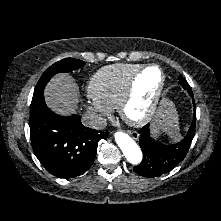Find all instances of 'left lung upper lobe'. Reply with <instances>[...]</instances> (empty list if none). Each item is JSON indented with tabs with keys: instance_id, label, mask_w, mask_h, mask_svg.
I'll use <instances>...</instances> for the list:
<instances>
[{
	"instance_id": "1",
	"label": "left lung upper lobe",
	"mask_w": 221,
	"mask_h": 221,
	"mask_svg": "<svg viewBox=\"0 0 221 221\" xmlns=\"http://www.w3.org/2000/svg\"><path fill=\"white\" fill-rule=\"evenodd\" d=\"M180 83L181 85L188 91V93L191 95L193 94L192 93V90H191V87L189 86V84L187 83L186 80H183L182 78H180Z\"/></svg>"
}]
</instances>
